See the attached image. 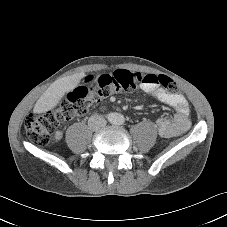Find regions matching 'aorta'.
<instances>
[{"label":"aorta","instance_id":"762f6f07","mask_svg":"<svg viewBox=\"0 0 227 227\" xmlns=\"http://www.w3.org/2000/svg\"><path fill=\"white\" fill-rule=\"evenodd\" d=\"M110 122L115 125H122L125 122V118L121 113H112L110 115Z\"/></svg>","mask_w":227,"mask_h":227}]
</instances>
